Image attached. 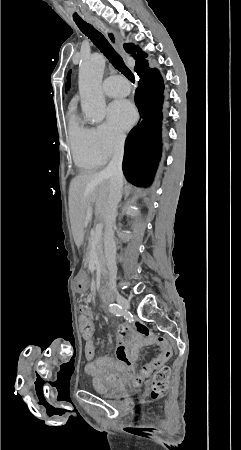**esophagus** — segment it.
I'll return each mask as SVG.
<instances>
[{
	"label": "esophagus",
	"mask_w": 241,
	"mask_h": 450,
	"mask_svg": "<svg viewBox=\"0 0 241 450\" xmlns=\"http://www.w3.org/2000/svg\"><path fill=\"white\" fill-rule=\"evenodd\" d=\"M87 21L96 25V27L99 28L105 34L107 40L112 45L117 47L119 39H118L116 33L112 29H110L106 25H104V23L101 22V20H99V18H97V17H90L89 20H87Z\"/></svg>",
	"instance_id": "obj_1"
}]
</instances>
